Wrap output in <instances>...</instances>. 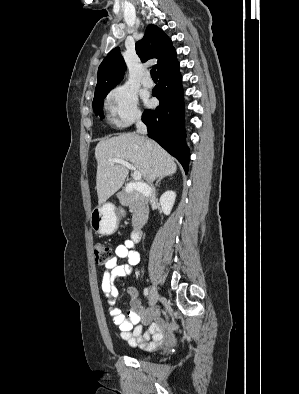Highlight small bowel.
I'll use <instances>...</instances> for the list:
<instances>
[{"label":"small bowel","instance_id":"obj_1","mask_svg":"<svg viewBox=\"0 0 299 394\" xmlns=\"http://www.w3.org/2000/svg\"><path fill=\"white\" fill-rule=\"evenodd\" d=\"M133 247L134 242L132 239H126L116 246L114 257L105 265L101 279V288L109 304V313L120 330L121 337L133 347L139 346L144 350L153 351L167 346L173 341L172 333L175 326L166 323L161 318L159 309H146L139 298V292L135 286L127 288L130 303L128 316H125L115 306L118 296V290L115 285L116 279L128 275L140 261V256ZM119 259H125L127 263L118 264L117 261ZM144 326H148L146 331H143Z\"/></svg>","mask_w":299,"mask_h":394}]
</instances>
